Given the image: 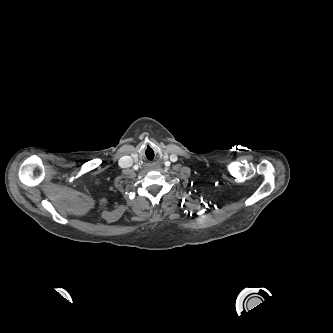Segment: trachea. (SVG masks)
<instances>
[{
    "label": "trachea",
    "instance_id": "1",
    "mask_svg": "<svg viewBox=\"0 0 333 333\" xmlns=\"http://www.w3.org/2000/svg\"><path fill=\"white\" fill-rule=\"evenodd\" d=\"M154 156H155V155H154V151L151 149V150H150V153H148L147 158H148V160H151V161H152V160L154 159Z\"/></svg>",
    "mask_w": 333,
    "mask_h": 333
}]
</instances>
